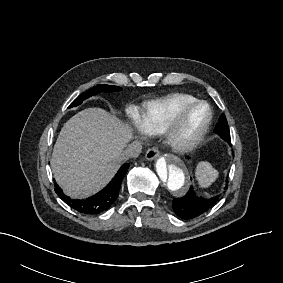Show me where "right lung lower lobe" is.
Returning <instances> with one entry per match:
<instances>
[{
    "label": "right lung lower lobe",
    "mask_w": 283,
    "mask_h": 283,
    "mask_svg": "<svg viewBox=\"0 0 283 283\" xmlns=\"http://www.w3.org/2000/svg\"><path fill=\"white\" fill-rule=\"evenodd\" d=\"M129 166L127 163L124 164L103 190L87 199H71L63 193L56 183L54 184L56 186L55 192L65 203L78 212L89 215L99 214L106 211L116 200L122 180Z\"/></svg>",
    "instance_id": "obj_1"
}]
</instances>
